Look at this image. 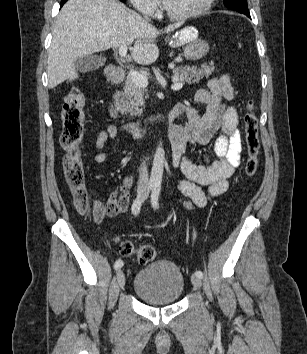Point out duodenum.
<instances>
[{
	"instance_id": "obj_1",
	"label": "duodenum",
	"mask_w": 307,
	"mask_h": 354,
	"mask_svg": "<svg viewBox=\"0 0 307 354\" xmlns=\"http://www.w3.org/2000/svg\"><path fill=\"white\" fill-rule=\"evenodd\" d=\"M124 77V70L121 67L116 66L110 68L107 74L108 81L113 85L120 84L124 80ZM107 105L110 117L112 119H117L119 117V109L117 107L116 98L111 97L107 101ZM174 117L175 109L172 108L171 110L165 113H159L143 120L128 122L123 125V129L127 134L136 137L148 132L150 128L157 124L169 122Z\"/></svg>"
}]
</instances>
